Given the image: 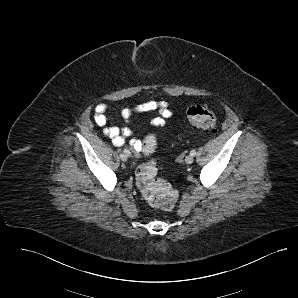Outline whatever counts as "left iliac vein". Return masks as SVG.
<instances>
[{"mask_svg": "<svg viewBox=\"0 0 298 298\" xmlns=\"http://www.w3.org/2000/svg\"><path fill=\"white\" fill-rule=\"evenodd\" d=\"M194 161V157L190 154L185 157V162L191 164Z\"/></svg>", "mask_w": 298, "mask_h": 298, "instance_id": "left-iliac-vein-1", "label": "left iliac vein"}]
</instances>
